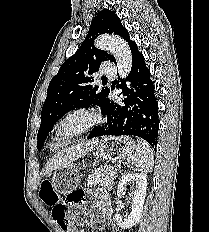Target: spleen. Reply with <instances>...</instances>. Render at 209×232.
<instances>
[{"label": "spleen", "mask_w": 209, "mask_h": 232, "mask_svg": "<svg viewBox=\"0 0 209 232\" xmlns=\"http://www.w3.org/2000/svg\"><path fill=\"white\" fill-rule=\"evenodd\" d=\"M137 142L136 152L128 157L129 163L141 172H151L154 165L153 150L146 141L138 139Z\"/></svg>", "instance_id": "spleen-1"}]
</instances>
